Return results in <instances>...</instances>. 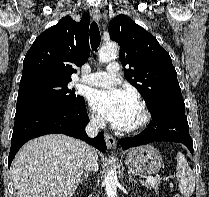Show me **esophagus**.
Listing matches in <instances>:
<instances>
[{
  "label": "esophagus",
  "instance_id": "obj_1",
  "mask_svg": "<svg viewBox=\"0 0 209 197\" xmlns=\"http://www.w3.org/2000/svg\"><path fill=\"white\" fill-rule=\"evenodd\" d=\"M92 16L97 21L101 19L100 10L98 7L92 8ZM104 137H105V142H106L108 149H113L116 147V139L113 136L106 133Z\"/></svg>",
  "mask_w": 209,
  "mask_h": 197
}]
</instances>
